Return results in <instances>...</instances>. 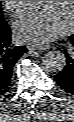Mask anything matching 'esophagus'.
Returning <instances> with one entry per match:
<instances>
[{"instance_id": "esophagus-1", "label": "esophagus", "mask_w": 74, "mask_h": 122, "mask_svg": "<svg viewBox=\"0 0 74 122\" xmlns=\"http://www.w3.org/2000/svg\"><path fill=\"white\" fill-rule=\"evenodd\" d=\"M28 50L30 53H36L38 51H44V50H47V49H50V46L49 45H29L28 47Z\"/></svg>"}]
</instances>
